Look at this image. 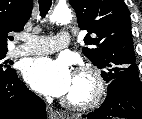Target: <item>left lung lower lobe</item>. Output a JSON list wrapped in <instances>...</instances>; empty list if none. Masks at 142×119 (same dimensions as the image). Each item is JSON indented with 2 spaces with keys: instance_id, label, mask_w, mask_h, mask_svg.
Wrapping results in <instances>:
<instances>
[{
  "instance_id": "1",
  "label": "left lung lower lobe",
  "mask_w": 142,
  "mask_h": 119,
  "mask_svg": "<svg viewBox=\"0 0 142 119\" xmlns=\"http://www.w3.org/2000/svg\"><path fill=\"white\" fill-rule=\"evenodd\" d=\"M87 119H142V84L139 75L132 73L112 80L107 98Z\"/></svg>"
}]
</instances>
